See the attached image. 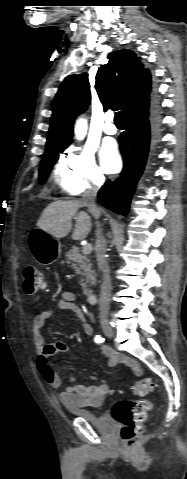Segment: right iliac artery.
<instances>
[{
	"instance_id": "obj_1",
	"label": "right iliac artery",
	"mask_w": 187,
	"mask_h": 479,
	"mask_svg": "<svg viewBox=\"0 0 187 479\" xmlns=\"http://www.w3.org/2000/svg\"><path fill=\"white\" fill-rule=\"evenodd\" d=\"M94 341H95L96 343H98V344H99V343H103V342H104V338H103L102 336H100V335H96L95 338H94Z\"/></svg>"
}]
</instances>
